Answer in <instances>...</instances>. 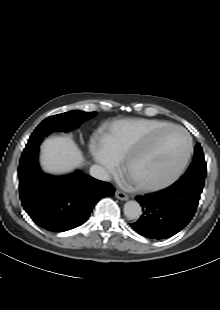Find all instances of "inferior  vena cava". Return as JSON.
Here are the masks:
<instances>
[{
	"mask_svg": "<svg viewBox=\"0 0 220 310\" xmlns=\"http://www.w3.org/2000/svg\"><path fill=\"white\" fill-rule=\"evenodd\" d=\"M90 175L98 180L109 181L110 176L108 172L99 165H92L90 167Z\"/></svg>",
	"mask_w": 220,
	"mask_h": 310,
	"instance_id": "1",
	"label": "inferior vena cava"
}]
</instances>
